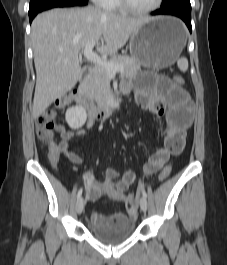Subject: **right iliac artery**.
<instances>
[{
	"mask_svg": "<svg viewBox=\"0 0 227 265\" xmlns=\"http://www.w3.org/2000/svg\"><path fill=\"white\" fill-rule=\"evenodd\" d=\"M83 189L81 188L77 193V199H79L82 195Z\"/></svg>",
	"mask_w": 227,
	"mask_h": 265,
	"instance_id": "obj_1",
	"label": "right iliac artery"
}]
</instances>
